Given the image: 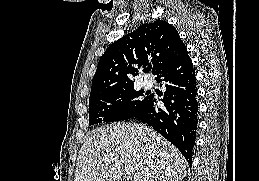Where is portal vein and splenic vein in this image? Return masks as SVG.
<instances>
[{
	"mask_svg": "<svg viewBox=\"0 0 259 181\" xmlns=\"http://www.w3.org/2000/svg\"><path fill=\"white\" fill-rule=\"evenodd\" d=\"M133 170L131 168L125 167V173L129 176H131Z\"/></svg>",
	"mask_w": 259,
	"mask_h": 181,
	"instance_id": "18ae733b",
	"label": "portal vein and splenic vein"
}]
</instances>
